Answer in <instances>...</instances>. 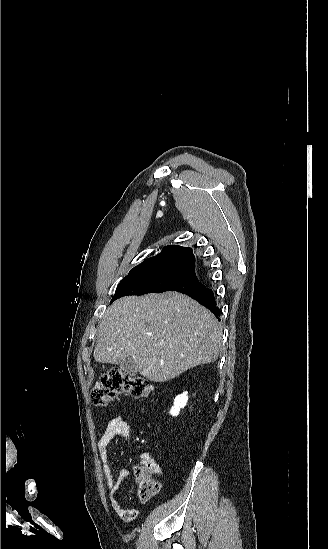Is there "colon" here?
<instances>
[{
	"label": "colon",
	"mask_w": 328,
	"mask_h": 549,
	"mask_svg": "<svg viewBox=\"0 0 328 549\" xmlns=\"http://www.w3.org/2000/svg\"><path fill=\"white\" fill-rule=\"evenodd\" d=\"M152 391L150 383L137 376H132L121 369L113 368L101 376L93 386L90 393L91 403L95 406H104L121 393L141 398L148 396ZM138 481V495L141 499H146L152 487V480L147 471L141 467L135 470ZM136 513H129L126 519L135 517Z\"/></svg>",
	"instance_id": "colon-1"
}]
</instances>
